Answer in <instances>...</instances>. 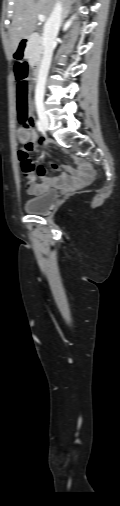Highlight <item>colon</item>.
<instances>
[{"instance_id": "1", "label": "colon", "mask_w": 120, "mask_h": 506, "mask_svg": "<svg viewBox=\"0 0 120 506\" xmlns=\"http://www.w3.org/2000/svg\"><path fill=\"white\" fill-rule=\"evenodd\" d=\"M27 51V50H26ZM11 57L15 64L18 65L17 69L13 72V77L17 80L16 85V100H17V119L23 125L18 131V140L23 144V149L20 154L23 157H30V153L34 147V133L31 131L30 121V107H29V84L27 82L28 67L26 65L27 57L18 58L16 50L13 49Z\"/></svg>"}]
</instances>
